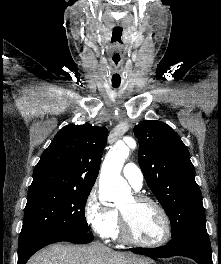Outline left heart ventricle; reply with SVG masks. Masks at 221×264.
Listing matches in <instances>:
<instances>
[{
    "label": "left heart ventricle",
    "instance_id": "left-heart-ventricle-1",
    "mask_svg": "<svg viewBox=\"0 0 221 264\" xmlns=\"http://www.w3.org/2000/svg\"><path fill=\"white\" fill-rule=\"evenodd\" d=\"M119 210L128 219L134 236L143 242L159 241L165 233V224L159 211L149 203H137L128 198Z\"/></svg>",
    "mask_w": 221,
    "mask_h": 264
}]
</instances>
